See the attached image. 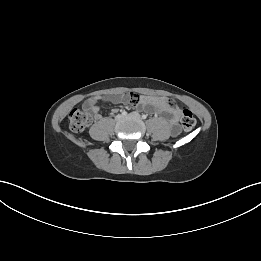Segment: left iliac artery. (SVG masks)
<instances>
[{
	"label": "left iliac artery",
	"instance_id": "1",
	"mask_svg": "<svg viewBox=\"0 0 261 261\" xmlns=\"http://www.w3.org/2000/svg\"><path fill=\"white\" fill-rule=\"evenodd\" d=\"M147 116L145 114L142 115V119H146Z\"/></svg>",
	"mask_w": 261,
	"mask_h": 261
}]
</instances>
